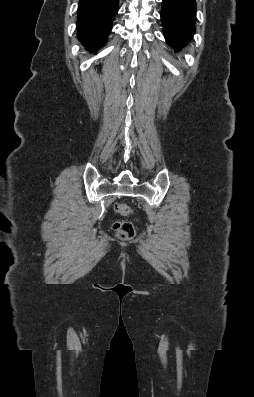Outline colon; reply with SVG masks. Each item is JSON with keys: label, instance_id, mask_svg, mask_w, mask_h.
<instances>
[{"label": "colon", "instance_id": "1", "mask_svg": "<svg viewBox=\"0 0 254 397\" xmlns=\"http://www.w3.org/2000/svg\"><path fill=\"white\" fill-rule=\"evenodd\" d=\"M115 211L122 216H128L132 213L130 206L124 203H117L114 206ZM112 228L116 233L117 237L121 240H130L135 235V229L131 222L129 221H114Z\"/></svg>", "mask_w": 254, "mask_h": 397}]
</instances>
